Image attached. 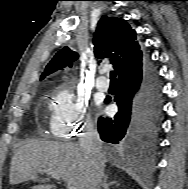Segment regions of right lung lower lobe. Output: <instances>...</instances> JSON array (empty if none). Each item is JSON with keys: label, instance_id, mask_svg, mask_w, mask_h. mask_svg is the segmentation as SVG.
<instances>
[{"label": "right lung lower lobe", "instance_id": "98d812e1", "mask_svg": "<svg viewBox=\"0 0 188 189\" xmlns=\"http://www.w3.org/2000/svg\"><path fill=\"white\" fill-rule=\"evenodd\" d=\"M114 101L118 113L98 120L101 139L127 145L138 155L147 154L155 143L161 117L160 83L147 58L139 72L118 80Z\"/></svg>", "mask_w": 188, "mask_h": 189}]
</instances>
